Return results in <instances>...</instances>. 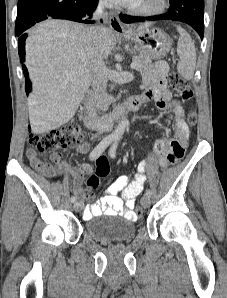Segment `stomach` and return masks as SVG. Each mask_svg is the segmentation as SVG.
Returning <instances> with one entry per match:
<instances>
[{"mask_svg": "<svg viewBox=\"0 0 227 298\" xmlns=\"http://www.w3.org/2000/svg\"><path fill=\"white\" fill-rule=\"evenodd\" d=\"M126 40L135 43L151 59L163 58L171 49L172 39L161 29L146 27L133 28L123 32Z\"/></svg>", "mask_w": 227, "mask_h": 298, "instance_id": "stomach-1", "label": "stomach"}]
</instances>
